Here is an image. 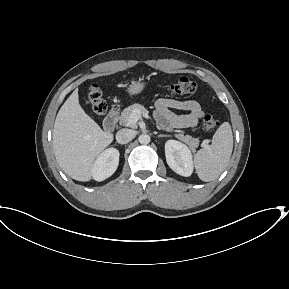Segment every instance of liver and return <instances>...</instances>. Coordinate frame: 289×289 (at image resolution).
<instances>
[{
	"instance_id": "6515ba94",
	"label": "liver",
	"mask_w": 289,
	"mask_h": 289,
	"mask_svg": "<svg viewBox=\"0 0 289 289\" xmlns=\"http://www.w3.org/2000/svg\"><path fill=\"white\" fill-rule=\"evenodd\" d=\"M112 141L113 134L104 132L82 109L75 89L60 108L53 129V150L60 168L75 180L89 181L95 158Z\"/></svg>"
}]
</instances>
